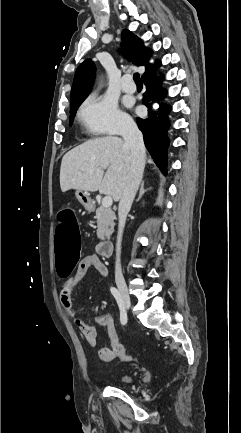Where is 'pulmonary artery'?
<instances>
[{
	"label": "pulmonary artery",
	"mask_w": 241,
	"mask_h": 433,
	"mask_svg": "<svg viewBox=\"0 0 241 433\" xmlns=\"http://www.w3.org/2000/svg\"><path fill=\"white\" fill-rule=\"evenodd\" d=\"M121 85H122V89H123V91H124V92H127V93H133V92H135V90H136V86H135L134 83H132V82L130 81L129 75H125V76L122 78V83H121Z\"/></svg>",
	"instance_id": "pulmonary-artery-1"
}]
</instances>
